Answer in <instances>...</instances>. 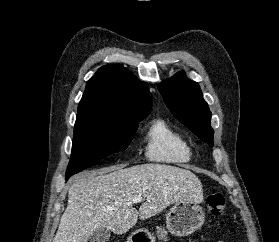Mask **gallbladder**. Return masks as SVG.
Listing matches in <instances>:
<instances>
[{
  "instance_id": "bac80fb5",
  "label": "gallbladder",
  "mask_w": 279,
  "mask_h": 242,
  "mask_svg": "<svg viewBox=\"0 0 279 242\" xmlns=\"http://www.w3.org/2000/svg\"><path fill=\"white\" fill-rule=\"evenodd\" d=\"M111 232L107 228H98L89 237L88 242H107L110 239Z\"/></svg>"
}]
</instances>
